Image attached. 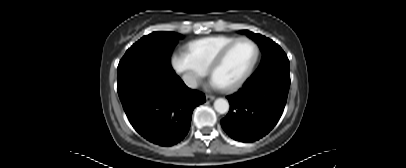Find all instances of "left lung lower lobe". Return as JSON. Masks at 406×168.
Here are the masks:
<instances>
[{
    "label": "left lung lower lobe",
    "instance_id": "0a47b994",
    "mask_svg": "<svg viewBox=\"0 0 406 168\" xmlns=\"http://www.w3.org/2000/svg\"><path fill=\"white\" fill-rule=\"evenodd\" d=\"M290 77L278 73L253 74L235 94L228 96L230 110L221 120L233 139L253 142L268 134L284 110Z\"/></svg>",
    "mask_w": 406,
    "mask_h": 168
}]
</instances>
